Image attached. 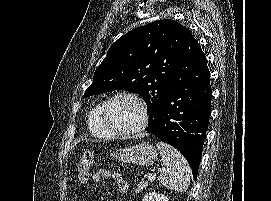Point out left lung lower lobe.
<instances>
[{"label":"left lung lower lobe","instance_id":"0a47b994","mask_svg":"<svg viewBox=\"0 0 271 201\" xmlns=\"http://www.w3.org/2000/svg\"><path fill=\"white\" fill-rule=\"evenodd\" d=\"M206 56L189 29L182 33L175 71L154 126L145 131L172 145L186 158L194 179L211 112Z\"/></svg>","mask_w":271,"mask_h":201}]
</instances>
